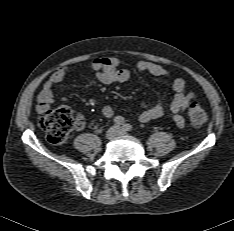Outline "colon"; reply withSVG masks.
Segmentation results:
<instances>
[{"label":"colon","mask_w":234,"mask_h":231,"mask_svg":"<svg viewBox=\"0 0 234 231\" xmlns=\"http://www.w3.org/2000/svg\"><path fill=\"white\" fill-rule=\"evenodd\" d=\"M187 114L193 126L200 127L207 121V113L198 102L190 103ZM39 125L46 132L50 143L62 145L67 141L74 122L70 110L61 107L43 111L39 117Z\"/></svg>","instance_id":"5ec220e1"}]
</instances>
